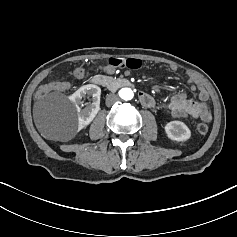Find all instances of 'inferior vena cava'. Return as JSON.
I'll return each instance as SVG.
<instances>
[{"label":"inferior vena cava","mask_w":237,"mask_h":237,"mask_svg":"<svg viewBox=\"0 0 237 237\" xmlns=\"http://www.w3.org/2000/svg\"><path fill=\"white\" fill-rule=\"evenodd\" d=\"M117 101H118V96L115 94H108L106 97V105L107 106H111L112 104H114Z\"/></svg>","instance_id":"inferior-vena-cava-1"}]
</instances>
